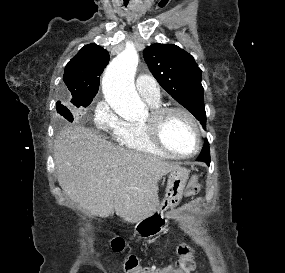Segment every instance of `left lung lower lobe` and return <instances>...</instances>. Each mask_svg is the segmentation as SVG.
Returning a JSON list of instances; mask_svg holds the SVG:
<instances>
[{
  "mask_svg": "<svg viewBox=\"0 0 285 273\" xmlns=\"http://www.w3.org/2000/svg\"><path fill=\"white\" fill-rule=\"evenodd\" d=\"M198 161H204L208 165L210 164V151H209V145L207 142H205L204 148L201 151V154L199 155Z\"/></svg>",
  "mask_w": 285,
  "mask_h": 273,
  "instance_id": "left-lung-lower-lobe-1",
  "label": "left lung lower lobe"
}]
</instances>
